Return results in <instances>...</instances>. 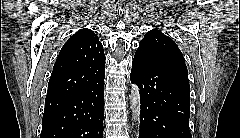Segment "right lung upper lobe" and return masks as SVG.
Here are the masks:
<instances>
[{
	"label": "right lung upper lobe",
	"instance_id": "cb5924a9",
	"mask_svg": "<svg viewBox=\"0 0 240 138\" xmlns=\"http://www.w3.org/2000/svg\"><path fill=\"white\" fill-rule=\"evenodd\" d=\"M105 76V55L97 35L81 29L63 45L48 83L46 99L93 86Z\"/></svg>",
	"mask_w": 240,
	"mask_h": 138
}]
</instances>
